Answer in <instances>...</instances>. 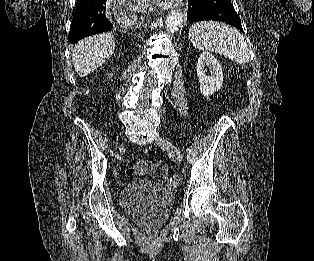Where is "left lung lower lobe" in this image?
Masks as SVG:
<instances>
[{"label": "left lung lower lobe", "instance_id": "left-lung-lower-lobe-1", "mask_svg": "<svg viewBox=\"0 0 314 261\" xmlns=\"http://www.w3.org/2000/svg\"><path fill=\"white\" fill-rule=\"evenodd\" d=\"M187 20L223 21L243 32L240 17L235 12L230 0H188Z\"/></svg>", "mask_w": 314, "mask_h": 261}]
</instances>
